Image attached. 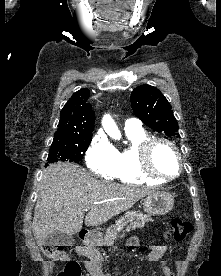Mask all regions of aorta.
Wrapping results in <instances>:
<instances>
[{
	"label": "aorta",
	"mask_w": 221,
	"mask_h": 276,
	"mask_svg": "<svg viewBox=\"0 0 221 276\" xmlns=\"http://www.w3.org/2000/svg\"><path fill=\"white\" fill-rule=\"evenodd\" d=\"M102 126L105 132L113 139L119 140L121 133L110 115H104L102 118Z\"/></svg>",
	"instance_id": "1"
}]
</instances>
